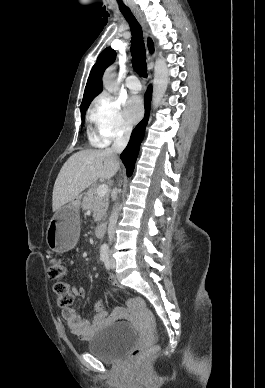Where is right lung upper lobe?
<instances>
[{
    "label": "right lung upper lobe",
    "instance_id": "cb5924a9",
    "mask_svg": "<svg viewBox=\"0 0 265 388\" xmlns=\"http://www.w3.org/2000/svg\"><path fill=\"white\" fill-rule=\"evenodd\" d=\"M149 51L153 52L152 42L148 41ZM116 57V52L111 48L107 47L102 51V53L98 56L97 62L91 69L90 76L88 78L84 97L82 100V105L86 104L90 100H93L99 93L102 92V76L105 69L111 65Z\"/></svg>",
    "mask_w": 265,
    "mask_h": 388
}]
</instances>
